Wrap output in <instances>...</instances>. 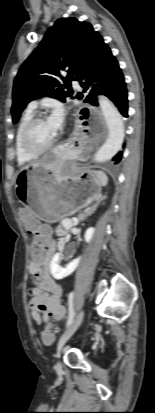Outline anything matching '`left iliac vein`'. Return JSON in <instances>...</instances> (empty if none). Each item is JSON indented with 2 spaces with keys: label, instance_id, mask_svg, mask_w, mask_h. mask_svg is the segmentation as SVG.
<instances>
[{
  "label": "left iliac vein",
  "instance_id": "left-iliac-vein-1",
  "mask_svg": "<svg viewBox=\"0 0 155 413\" xmlns=\"http://www.w3.org/2000/svg\"><path fill=\"white\" fill-rule=\"evenodd\" d=\"M83 317H84V310H81L79 314L77 315V317L74 319V321L69 325V327L60 337L58 341V345H57V355H56L57 357L59 356L61 349L63 348L65 343L70 339V337L74 334V332L77 330V328L81 324ZM55 369L58 374L62 373V367L59 361L56 363Z\"/></svg>",
  "mask_w": 155,
  "mask_h": 413
}]
</instances>
